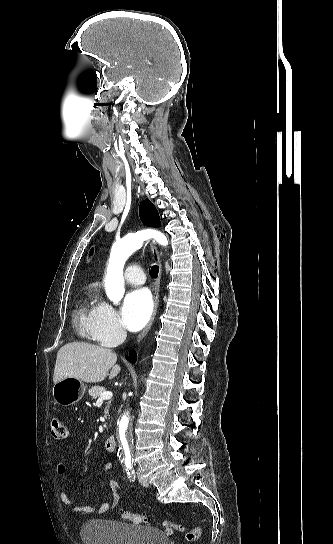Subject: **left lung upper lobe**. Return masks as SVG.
Masks as SVG:
<instances>
[{"instance_id": "5c2ea615", "label": "left lung upper lobe", "mask_w": 333, "mask_h": 544, "mask_svg": "<svg viewBox=\"0 0 333 544\" xmlns=\"http://www.w3.org/2000/svg\"><path fill=\"white\" fill-rule=\"evenodd\" d=\"M139 214L142 222L145 225L152 227H160V218L155 206L148 200L141 202L139 207ZM92 254V250L90 252Z\"/></svg>"}]
</instances>
